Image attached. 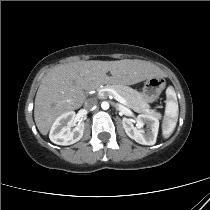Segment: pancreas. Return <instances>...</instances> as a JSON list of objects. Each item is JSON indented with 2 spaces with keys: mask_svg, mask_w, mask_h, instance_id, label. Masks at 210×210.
<instances>
[{
  "mask_svg": "<svg viewBox=\"0 0 210 210\" xmlns=\"http://www.w3.org/2000/svg\"><path fill=\"white\" fill-rule=\"evenodd\" d=\"M108 88L115 90L119 95H121L126 100L125 105L135 112L153 116L158 115L154 110L149 109L150 106L148 102L144 99L142 93L122 84H108L104 88L99 89L98 96L101 97V94L105 95V89Z\"/></svg>",
  "mask_w": 210,
  "mask_h": 210,
  "instance_id": "cf45deb5",
  "label": "pancreas"
}]
</instances>
